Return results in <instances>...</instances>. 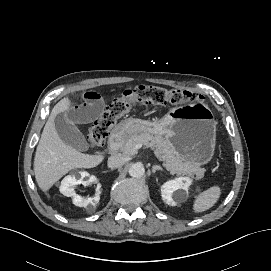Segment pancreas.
<instances>
[{
	"label": "pancreas",
	"mask_w": 271,
	"mask_h": 271,
	"mask_svg": "<svg viewBox=\"0 0 271 271\" xmlns=\"http://www.w3.org/2000/svg\"><path fill=\"white\" fill-rule=\"evenodd\" d=\"M137 144L150 147L171 174H188L192 177L195 176L197 179L204 176V169L200 165L191 164L183 159L172 144L160 135H153L148 132L134 134L128 138L126 144L121 147V150L126 155H133L137 152V150H134Z\"/></svg>",
	"instance_id": "1"
}]
</instances>
